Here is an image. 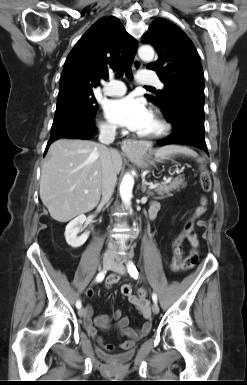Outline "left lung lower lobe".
<instances>
[{"label":"left lung lower lobe","mask_w":247,"mask_h":385,"mask_svg":"<svg viewBox=\"0 0 247 385\" xmlns=\"http://www.w3.org/2000/svg\"><path fill=\"white\" fill-rule=\"evenodd\" d=\"M173 126V133L157 144H185L206 150L204 138V110L187 106L176 107L169 117H165Z\"/></svg>","instance_id":"1"}]
</instances>
